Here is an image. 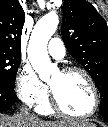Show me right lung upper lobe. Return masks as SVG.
I'll return each mask as SVG.
<instances>
[{
    "label": "right lung upper lobe",
    "mask_w": 108,
    "mask_h": 127,
    "mask_svg": "<svg viewBox=\"0 0 108 127\" xmlns=\"http://www.w3.org/2000/svg\"><path fill=\"white\" fill-rule=\"evenodd\" d=\"M25 12L18 0H0V52L20 54Z\"/></svg>",
    "instance_id": "obj_1"
}]
</instances>
